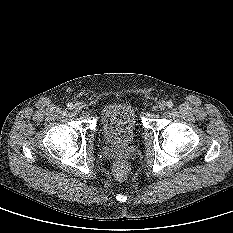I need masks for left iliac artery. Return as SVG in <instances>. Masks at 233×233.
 <instances>
[{"mask_svg":"<svg viewBox=\"0 0 233 233\" xmlns=\"http://www.w3.org/2000/svg\"><path fill=\"white\" fill-rule=\"evenodd\" d=\"M166 105H167L168 108H171L173 106V102L172 101H168Z\"/></svg>","mask_w":233,"mask_h":233,"instance_id":"left-iliac-artery-1","label":"left iliac artery"}]
</instances>
